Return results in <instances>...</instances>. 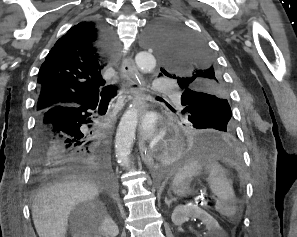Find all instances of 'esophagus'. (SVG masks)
I'll return each mask as SVG.
<instances>
[{"label": "esophagus", "mask_w": 297, "mask_h": 237, "mask_svg": "<svg viewBox=\"0 0 297 237\" xmlns=\"http://www.w3.org/2000/svg\"><path fill=\"white\" fill-rule=\"evenodd\" d=\"M122 78L126 79L129 82V89L132 96L135 97L137 101L140 115L145 111V96L139 89H135L131 87V84L136 81V67L131 58H125L122 61V66L120 69ZM139 150L142 156L144 163L151 167L154 164V159L152 153L147 149L144 141L140 139L139 142Z\"/></svg>", "instance_id": "1"}]
</instances>
